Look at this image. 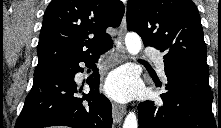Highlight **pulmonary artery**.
<instances>
[{"label": "pulmonary artery", "instance_id": "obj_1", "mask_svg": "<svg viewBox=\"0 0 221 128\" xmlns=\"http://www.w3.org/2000/svg\"><path fill=\"white\" fill-rule=\"evenodd\" d=\"M146 55L153 59V61L156 64L157 69L164 75L165 65H164L163 56L157 53L154 49H149L146 52Z\"/></svg>", "mask_w": 221, "mask_h": 128}]
</instances>
